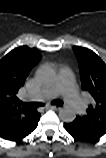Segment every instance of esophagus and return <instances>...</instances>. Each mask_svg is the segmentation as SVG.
I'll list each match as a JSON object with an SVG mask.
<instances>
[{
  "label": "esophagus",
  "instance_id": "esophagus-1",
  "mask_svg": "<svg viewBox=\"0 0 106 158\" xmlns=\"http://www.w3.org/2000/svg\"><path fill=\"white\" fill-rule=\"evenodd\" d=\"M64 105H65V102H62L59 105H51L50 107L54 109H61Z\"/></svg>",
  "mask_w": 106,
  "mask_h": 158
}]
</instances>
